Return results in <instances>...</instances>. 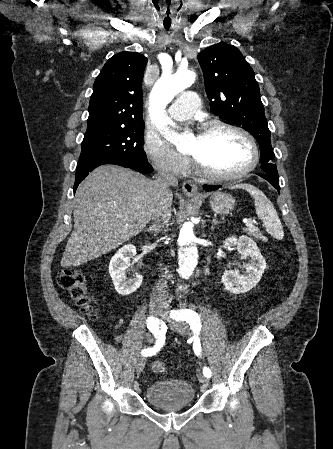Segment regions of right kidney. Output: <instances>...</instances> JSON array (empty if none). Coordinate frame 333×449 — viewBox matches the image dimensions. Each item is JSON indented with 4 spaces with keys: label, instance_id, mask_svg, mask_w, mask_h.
<instances>
[{
    "label": "right kidney",
    "instance_id": "right-kidney-1",
    "mask_svg": "<svg viewBox=\"0 0 333 449\" xmlns=\"http://www.w3.org/2000/svg\"><path fill=\"white\" fill-rule=\"evenodd\" d=\"M135 255V246L129 244L120 248L110 260L109 273L115 290L120 295L128 296L132 294L143 282V276L140 274H136L133 278L126 276V270L130 266V258Z\"/></svg>",
    "mask_w": 333,
    "mask_h": 449
}]
</instances>
